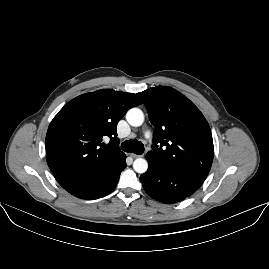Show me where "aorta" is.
<instances>
[{
  "instance_id": "obj_1",
  "label": "aorta",
  "mask_w": 269,
  "mask_h": 269,
  "mask_svg": "<svg viewBox=\"0 0 269 269\" xmlns=\"http://www.w3.org/2000/svg\"><path fill=\"white\" fill-rule=\"evenodd\" d=\"M127 122L133 127H139L144 122V114L138 108L130 109L126 114ZM133 169L137 173H145L148 169V162L144 158H137L133 162Z\"/></svg>"
}]
</instances>
